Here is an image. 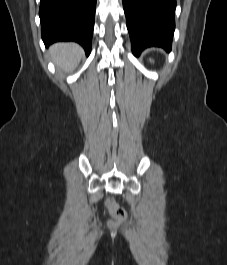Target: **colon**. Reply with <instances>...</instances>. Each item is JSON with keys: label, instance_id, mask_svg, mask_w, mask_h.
<instances>
[{"label": "colon", "instance_id": "1", "mask_svg": "<svg viewBox=\"0 0 227 265\" xmlns=\"http://www.w3.org/2000/svg\"><path fill=\"white\" fill-rule=\"evenodd\" d=\"M107 207L112 216V219L108 222L111 227L120 226L127 218L126 211L119 206L114 198L107 200Z\"/></svg>", "mask_w": 227, "mask_h": 265}]
</instances>
